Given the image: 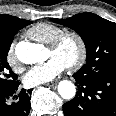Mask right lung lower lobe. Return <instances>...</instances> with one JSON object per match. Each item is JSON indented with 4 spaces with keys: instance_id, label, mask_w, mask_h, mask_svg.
<instances>
[{
    "instance_id": "98d812e1",
    "label": "right lung lower lobe",
    "mask_w": 116,
    "mask_h": 116,
    "mask_svg": "<svg viewBox=\"0 0 116 116\" xmlns=\"http://www.w3.org/2000/svg\"><path fill=\"white\" fill-rule=\"evenodd\" d=\"M20 82L0 90V116H27L30 112L32 89L17 93ZM15 99L14 102H11Z\"/></svg>"
}]
</instances>
